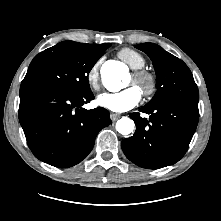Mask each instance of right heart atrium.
Listing matches in <instances>:
<instances>
[{
  "mask_svg": "<svg viewBox=\"0 0 221 221\" xmlns=\"http://www.w3.org/2000/svg\"><path fill=\"white\" fill-rule=\"evenodd\" d=\"M101 62V58L95 61L86 73V80L92 89H98L99 68Z\"/></svg>",
  "mask_w": 221,
  "mask_h": 221,
  "instance_id": "1",
  "label": "right heart atrium"
}]
</instances>
